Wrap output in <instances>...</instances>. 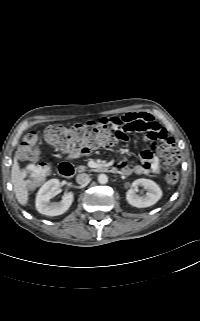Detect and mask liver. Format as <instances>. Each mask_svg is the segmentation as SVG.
I'll use <instances>...</instances> for the list:
<instances>
[{
  "mask_svg": "<svg viewBox=\"0 0 200 321\" xmlns=\"http://www.w3.org/2000/svg\"><path fill=\"white\" fill-rule=\"evenodd\" d=\"M11 183L13 184V189L15 192V196L17 201L25 206L28 203L29 192L27 188V184L24 180V176L19 168V163L17 161V157H14L13 165L11 168Z\"/></svg>",
  "mask_w": 200,
  "mask_h": 321,
  "instance_id": "liver-1",
  "label": "liver"
}]
</instances>
